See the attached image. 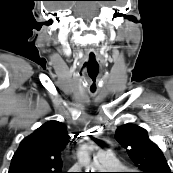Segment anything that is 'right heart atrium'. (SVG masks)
I'll list each match as a JSON object with an SVG mask.
<instances>
[{"instance_id": "1", "label": "right heart atrium", "mask_w": 173, "mask_h": 173, "mask_svg": "<svg viewBox=\"0 0 173 173\" xmlns=\"http://www.w3.org/2000/svg\"><path fill=\"white\" fill-rule=\"evenodd\" d=\"M73 170L72 173H81L80 171H78L79 167L78 166H74L71 168Z\"/></svg>"}]
</instances>
